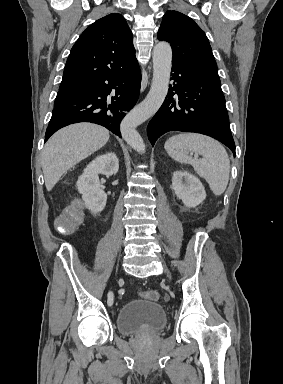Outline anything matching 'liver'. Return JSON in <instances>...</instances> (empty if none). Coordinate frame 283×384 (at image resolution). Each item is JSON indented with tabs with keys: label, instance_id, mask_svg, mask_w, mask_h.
<instances>
[{
	"label": "liver",
	"instance_id": "obj_1",
	"mask_svg": "<svg viewBox=\"0 0 283 384\" xmlns=\"http://www.w3.org/2000/svg\"><path fill=\"white\" fill-rule=\"evenodd\" d=\"M109 138V130L96 124H72L56 132L42 152L46 190L51 192L67 170L103 148Z\"/></svg>",
	"mask_w": 283,
	"mask_h": 384
}]
</instances>
